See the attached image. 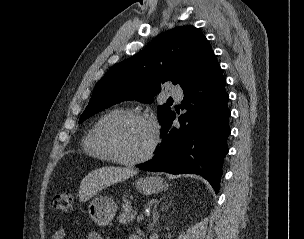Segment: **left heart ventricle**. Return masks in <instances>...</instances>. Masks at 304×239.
<instances>
[{
  "label": "left heart ventricle",
  "instance_id": "1",
  "mask_svg": "<svg viewBox=\"0 0 304 239\" xmlns=\"http://www.w3.org/2000/svg\"><path fill=\"white\" fill-rule=\"evenodd\" d=\"M153 138L152 127L141 121H128L114 129L113 143L125 158L141 156L149 148Z\"/></svg>",
  "mask_w": 304,
  "mask_h": 239
}]
</instances>
